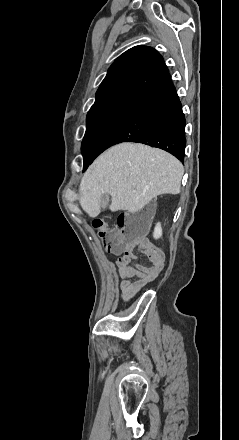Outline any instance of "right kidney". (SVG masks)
Segmentation results:
<instances>
[{"mask_svg": "<svg viewBox=\"0 0 239 440\" xmlns=\"http://www.w3.org/2000/svg\"><path fill=\"white\" fill-rule=\"evenodd\" d=\"M153 236H154V238H156V240H157V238H161L162 228H161L160 222H159V224H156Z\"/></svg>", "mask_w": 239, "mask_h": 440, "instance_id": "obj_1", "label": "right kidney"}]
</instances>
